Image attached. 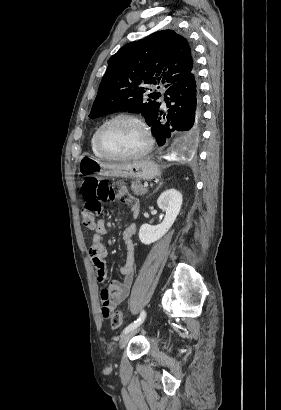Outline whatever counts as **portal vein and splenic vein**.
Instances as JSON below:
<instances>
[{
    "instance_id": "obj_1",
    "label": "portal vein and splenic vein",
    "mask_w": 281,
    "mask_h": 410,
    "mask_svg": "<svg viewBox=\"0 0 281 410\" xmlns=\"http://www.w3.org/2000/svg\"><path fill=\"white\" fill-rule=\"evenodd\" d=\"M144 187L147 188V187H148V183H144Z\"/></svg>"
}]
</instances>
